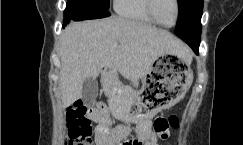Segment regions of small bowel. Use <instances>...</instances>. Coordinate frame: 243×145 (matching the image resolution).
Listing matches in <instances>:
<instances>
[{
	"mask_svg": "<svg viewBox=\"0 0 243 145\" xmlns=\"http://www.w3.org/2000/svg\"><path fill=\"white\" fill-rule=\"evenodd\" d=\"M93 119L98 124L104 120L109 123V111L103 104H98L94 108ZM166 137L155 132L152 123L149 119H142L138 122L136 131L131 133L129 128L125 126H117L109 129L106 136H95L96 145H159L158 139H165ZM67 144L69 145V135L67 136Z\"/></svg>",
	"mask_w": 243,
	"mask_h": 145,
	"instance_id": "small-bowel-1",
	"label": "small bowel"
}]
</instances>
